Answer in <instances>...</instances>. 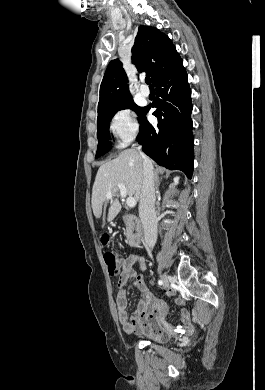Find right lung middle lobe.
Wrapping results in <instances>:
<instances>
[{"label":"right lung middle lobe","mask_w":265,"mask_h":390,"mask_svg":"<svg viewBox=\"0 0 265 390\" xmlns=\"http://www.w3.org/2000/svg\"><path fill=\"white\" fill-rule=\"evenodd\" d=\"M132 109L134 110L138 117L139 121L142 119L145 113L146 107H139L136 104L133 103V99H130L114 108H111L100 115H98L97 118V136H98V147H97V153H96V158L104 155L107 153L112 147L111 143L109 142V126H110V121L114 114L123 109Z\"/></svg>","instance_id":"obj_1"}]
</instances>
